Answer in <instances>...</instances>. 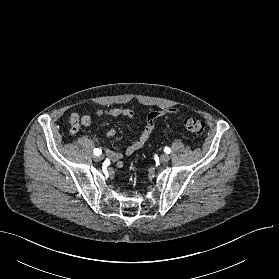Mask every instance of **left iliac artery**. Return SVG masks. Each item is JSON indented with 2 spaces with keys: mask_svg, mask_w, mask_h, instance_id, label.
<instances>
[{
  "mask_svg": "<svg viewBox=\"0 0 279 279\" xmlns=\"http://www.w3.org/2000/svg\"><path fill=\"white\" fill-rule=\"evenodd\" d=\"M164 152L167 153V154H169V153L171 152V150H170V148L165 147V148H164Z\"/></svg>",
  "mask_w": 279,
  "mask_h": 279,
  "instance_id": "44dca946",
  "label": "left iliac artery"
}]
</instances>
